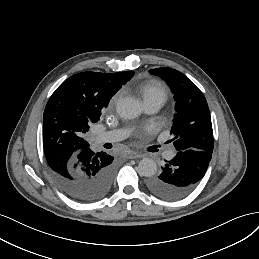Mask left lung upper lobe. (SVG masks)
Here are the masks:
<instances>
[{"mask_svg":"<svg viewBox=\"0 0 259 259\" xmlns=\"http://www.w3.org/2000/svg\"><path fill=\"white\" fill-rule=\"evenodd\" d=\"M167 82L175 95V115L171 134L176 150L213 152V130L207 101L199 88L183 73L167 68L150 70Z\"/></svg>","mask_w":259,"mask_h":259,"instance_id":"1","label":"left lung upper lobe"}]
</instances>
